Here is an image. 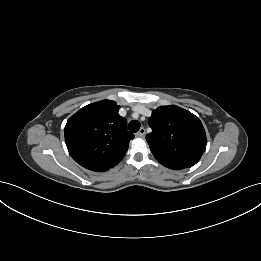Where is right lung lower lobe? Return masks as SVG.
I'll list each match as a JSON object with an SVG mask.
<instances>
[{"mask_svg":"<svg viewBox=\"0 0 261 261\" xmlns=\"http://www.w3.org/2000/svg\"><path fill=\"white\" fill-rule=\"evenodd\" d=\"M112 168V167H111ZM110 168H107V169H95V170H92V171H96V172H100V171H102V172H104V171H107V170H109Z\"/></svg>","mask_w":261,"mask_h":261,"instance_id":"obj_1","label":"right lung lower lobe"}]
</instances>
